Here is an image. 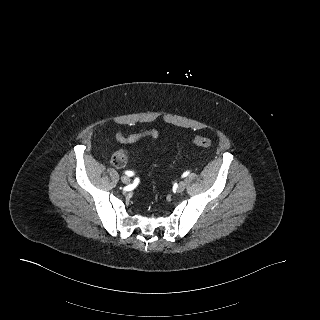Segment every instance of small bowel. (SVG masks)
<instances>
[{
  "label": "small bowel",
  "instance_id": "small-bowel-1",
  "mask_svg": "<svg viewBox=\"0 0 320 320\" xmlns=\"http://www.w3.org/2000/svg\"><path fill=\"white\" fill-rule=\"evenodd\" d=\"M150 138L151 140H156L158 138V132L155 129H147L141 132L124 134L122 132H116L115 138L119 143L122 144H133L142 138Z\"/></svg>",
  "mask_w": 320,
  "mask_h": 320
}]
</instances>
